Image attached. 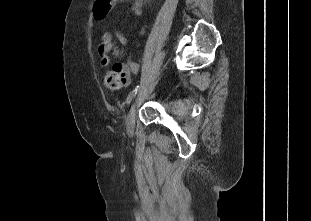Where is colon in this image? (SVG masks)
I'll return each instance as SVG.
<instances>
[{"label":"colon","mask_w":311,"mask_h":221,"mask_svg":"<svg viewBox=\"0 0 311 221\" xmlns=\"http://www.w3.org/2000/svg\"><path fill=\"white\" fill-rule=\"evenodd\" d=\"M115 4V0H97L95 1V11L94 16L96 22H105L106 17L109 16V12H113V5ZM112 50V49H111ZM110 48L106 42L103 43V45L99 48V53L102 55V57H106L109 53ZM123 76V71L118 68H110L108 69L106 76H105V82L108 84V86H117L118 80Z\"/></svg>","instance_id":"5ec220e1"}]
</instances>
